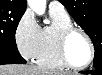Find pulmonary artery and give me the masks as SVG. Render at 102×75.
Returning a JSON list of instances; mask_svg holds the SVG:
<instances>
[{"label": "pulmonary artery", "instance_id": "e3ab8cb5", "mask_svg": "<svg viewBox=\"0 0 102 75\" xmlns=\"http://www.w3.org/2000/svg\"><path fill=\"white\" fill-rule=\"evenodd\" d=\"M49 9L50 10H57V11H61V12H65L66 11L64 6L59 1H52V2H50Z\"/></svg>", "mask_w": 102, "mask_h": 75}]
</instances>
